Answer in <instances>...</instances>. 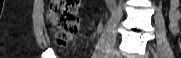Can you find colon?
Here are the masks:
<instances>
[{
  "instance_id": "obj_1",
  "label": "colon",
  "mask_w": 181,
  "mask_h": 58,
  "mask_svg": "<svg viewBox=\"0 0 181 58\" xmlns=\"http://www.w3.org/2000/svg\"><path fill=\"white\" fill-rule=\"evenodd\" d=\"M79 0H53L49 6L48 19L55 28V43L66 46L79 30ZM181 49V37L178 41Z\"/></svg>"
}]
</instances>
